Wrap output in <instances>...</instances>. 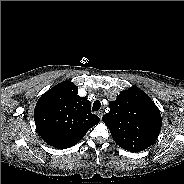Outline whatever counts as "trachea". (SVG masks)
<instances>
[{
  "label": "trachea",
  "instance_id": "trachea-1",
  "mask_svg": "<svg viewBox=\"0 0 184 184\" xmlns=\"http://www.w3.org/2000/svg\"><path fill=\"white\" fill-rule=\"evenodd\" d=\"M101 107V103L99 100H96L94 103H93V107H92V110L95 112V111H98Z\"/></svg>",
  "mask_w": 184,
  "mask_h": 184
}]
</instances>
